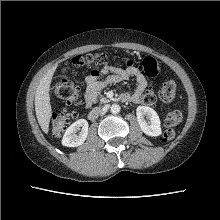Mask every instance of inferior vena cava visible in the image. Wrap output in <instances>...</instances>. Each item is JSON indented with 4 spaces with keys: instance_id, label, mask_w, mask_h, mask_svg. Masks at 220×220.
Listing matches in <instances>:
<instances>
[{
    "instance_id": "obj_1",
    "label": "inferior vena cava",
    "mask_w": 220,
    "mask_h": 220,
    "mask_svg": "<svg viewBox=\"0 0 220 220\" xmlns=\"http://www.w3.org/2000/svg\"><path fill=\"white\" fill-rule=\"evenodd\" d=\"M106 111H107V108H105V107L102 109L98 108V107L93 109V112L98 113V114H104Z\"/></svg>"
}]
</instances>
